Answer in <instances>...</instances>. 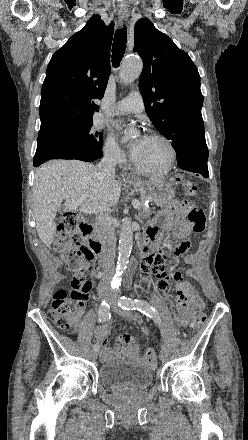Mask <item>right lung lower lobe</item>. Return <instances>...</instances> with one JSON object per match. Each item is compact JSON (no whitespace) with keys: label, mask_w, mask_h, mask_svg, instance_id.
Wrapping results in <instances>:
<instances>
[{"label":"right lung lower lobe","mask_w":248,"mask_h":440,"mask_svg":"<svg viewBox=\"0 0 248 440\" xmlns=\"http://www.w3.org/2000/svg\"><path fill=\"white\" fill-rule=\"evenodd\" d=\"M101 157L102 156L96 157V156H89V155H76V156H67V157H63L60 159H77V160H82V161H86V162H92V161L97 160ZM53 159L54 158L49 157V156H39L37 161H33V165L35 167H38L40 164H42L46 161H49V160H53Z\"/></svg>","instance_id":"obj_1"}]
</instances>
